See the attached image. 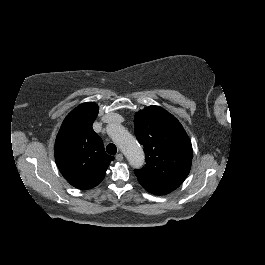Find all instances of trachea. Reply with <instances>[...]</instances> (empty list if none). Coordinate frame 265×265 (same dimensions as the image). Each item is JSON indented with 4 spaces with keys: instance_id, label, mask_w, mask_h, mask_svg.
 <instances>
[{
    "instance_id": "3493384b",
    "label": "trachea",
    "mask_w": 265,
    "mask_h": 265,
    "mask_svg": "<svg viewBox=\"0 0 265 265\" xmlns=\"http://www.w3.org/2000/svg\"><path fill=\"white\" fill-rule=\"evenodd\" d=\"M106 151L110 155H115L117 152V147L114 144H108L106 147Z\"/></svg>"
}]
</instances>
